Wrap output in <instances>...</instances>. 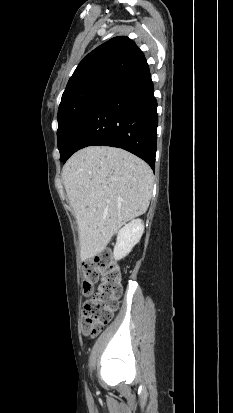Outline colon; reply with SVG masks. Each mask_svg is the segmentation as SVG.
Segmentation results:
<instances>
[{
    "label": "colon",
    "instance_id": "1",
    "mask_svg": "<svg viewBox=\"0 0 233 413\" xmlns=\"http://www.w3.org/2000/svg\"><path fill=\"white\" fill-rule=\"evenodd\" d=\"M120 277V269L108 250L84 263V294H91L97 284L96 291L83 307L81 329L84 335H97L111 321L122 293Z\"/></svg>",
    "mask_w": 233,
    "mask_h": 413
}]
</instances>
